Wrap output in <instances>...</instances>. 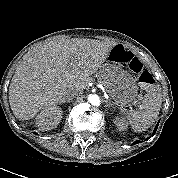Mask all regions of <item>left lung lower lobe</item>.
I'll list each match as a JSON object with an SVG mask.
<instances>
[{
	"mask_svg": "<svg viewBox=\"0 0 178 178\" xmlns=\"http://www.w3.org/2000/svg\"><path fill=\"white\" fill-rule=\"evenodd\" d=\"M158 125H159V122L157 123V125H156V127H155V129H154V133H153V134L156 133V130H157V128H158ZM137 143H139V141H135V142L133 143V145H134V144H137Z\"/></svg>",
	"mask_w": 178,
	"mask_h": 178,
	"instance_id": "left-lung-lower-lobe-1",
	"label": "left lung lower lobe"
}]
</instances>
